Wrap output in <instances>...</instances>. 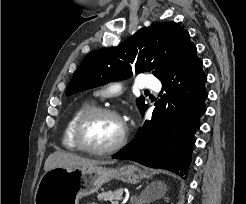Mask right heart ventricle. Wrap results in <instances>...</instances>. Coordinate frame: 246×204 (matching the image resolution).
Returning <instances> with one entry per match:
<instances>
[{
	"label": "right heart ventricle",
	"mask_w": 246,
	"mask_h": 204,
	"mask_svg": "<svg viewBox=\"0 0 246 204\" xmlns=\"http://www.w3.org/2000/svg\"><path fill=\"white\" fill-rule=\"evenodd\" d=\"M91 108H93V102L90 100H86L80 103L70 115L65 125L63 136H62V144L65 148L70 150L78 149L73 138L74 128L81 115Z\"/></svg>",
	"instance_id": "1"
}]
</instances>
